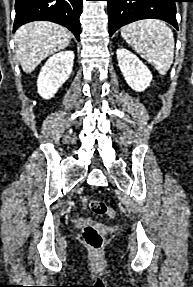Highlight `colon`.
<instances>
[{
	"label": "colon",
	"mask_w": 193,
	"mask_h": 287,
	"mask_svg": "<svg viewBox=\"0 0 193 287\" xmlns=\"http://www.w3.org/2000/svg\"><path fill=\"white\" fill-rule=\"evenodd\" d=\"M82 204L99 216L115 217V211L101 201L91 200L87 197L82 199ZM82 238L84 243L93 251H98L104 244V237L94 225H86L83 228Z\"/></svg>",
	"instance_id": "1"
}]
</instances>
